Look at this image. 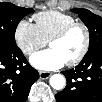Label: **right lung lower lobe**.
<instances>
[{
  "label": "right lung lower lobe",
  "instance_id": "98d812e1",
  "mask_svg": "<svg viewBox=\"0 0 102 102\" xmlns=\"http://www.w3.org/2000/svg\"><path fill=\"white\" fill-rule=\"evenodd\" d=\"M39 78L20 48L0 47V100L25 102L32 84Z\"/></svg>",
  "mask_w": 102,
  "mask_h": 102
}]
</instances>
